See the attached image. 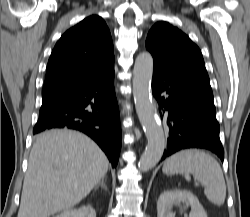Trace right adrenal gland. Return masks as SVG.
Masks as SVG:
<instances>
[{
	"label": "right adrenal gland",
	"mask_w": 250,
	"mask_h": 217,
	"mask_svg": "<svg viewBox=\"0 0 250 217\" xmlns=\"http://www.w3.org/2000/svg\"><path fill=\"white\" fill-rule=\"evenodd\" d=\"M99 186H101L102 188L107 190V186L105 184V178H102V181L99 184H97V186L95 188L97 189Z\"/></svg>",
	"instance_id": "obj_1"
}]
</instances>
